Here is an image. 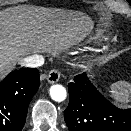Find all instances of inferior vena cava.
<instances>
[{"label": "inferior vena cava", "mask_w": 131, "mask_h": 131, "mask_svg": "<svg viewBox=\"0 0 131 131\" xmlns=\"http://www.w3.org/2000/svg\"><path fill=\"white\" fill-rule=\"evenodd\" d=\"M44 57L39 54H34L28 57L23 58L20 61V64L29 68H37L44 64Z\"/></svg>", "instance_id": "obj_1"}]
</instances>
